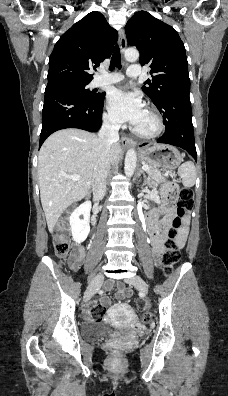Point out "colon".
<instances>
[{
  "label": "colon",
  "mask_w": 228,
  "mask_h": 396,
  "mask_svg": "<svg viewBox=\"0 0 228 396\" xmlns=\"http://www.w3.org/2000/svg\"><path fill=\"white\" fill-rule=\"evenodd\" d=\"M168 192L171 198H177V215L173 220V227L168 232L165 241V250L162 254V263L165 272H171L173 266L179 261L180 252L178 244L179 231L185 225V218L193 206V193L188 188H180L176 183H168ZM53 244L57 256L67 258L70 252V242L68 237V224L66 220H60L53 227ZM137 308L143 312L142 320L144 323L151 321V315L147 312V303L144 300H138ZM91 317L99 320L105 315V309L98 304L91 307Z\"/></svg>",
  "instance_id": "colon-1"
}]
</instances>
